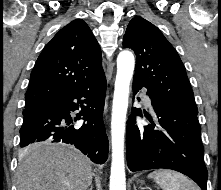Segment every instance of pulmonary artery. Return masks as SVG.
I'll list each match as a JSON object with an SVG mask.
<instances>
[{
  "label": "pulmonary artery",
  "instance_id": "e3ab8cb5",
  "mask_svg": "<svg viewBox=\"0 0 221 190\" xmlns=\"http://www.w3.org/2000/svg\"><path fill=\"white\" fill-rule=\"evenodd\" d=\"M144 98H145L146 103H147L148 105H151L150 98H149L147 95H145Z\"/></svg>",
  "mask_w": 221,
  "mask_h": 190
}]
</instances>
